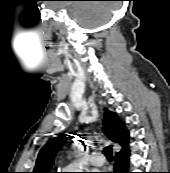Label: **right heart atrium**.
Listing matches in <instances>:
<instances>
[{"instance_id":"d8ad5b80","label":"right heart atrium","mask_w":170,"mask_h":173,"mask_svg":"<svg viewBox=\"0 0 170 173\" xmlns=\"http://www.w3.org/2000/svg\"><path fill=\"white\" fill-rule=\"evenodd\" d=\"M63 169H65L64 171V173H72L70 170H72L73 169V167H71V166H67V167H63Z\"/></svg>"}]
</instances>
